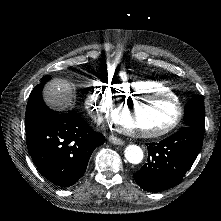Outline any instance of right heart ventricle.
<instances>
[{
  "label": "right heart ventricle",
  "instance_id": "right-heart-ventricle-1",
  "mask_svg": "<svg viewBox=\"0 0 221 221\" xmlns=\"http://www.w3.org/2000/svg\"><path fill=\"white\" fill-rule=\"evenodd\" d=\"M114 81L116 85L114 87V93L117 96L134 94L135 92L144 95L153 94V96L157 99H164V100H172L175 98L176 93L172 89H163V85L160 82H155L150 84L155 80L146 79L145 77L135 75V74H127L126 78L124 77L123 73H115L114 74ZM124 79L126 81L124 82Z\"/></svg>",
  "mask_w": 221,
  "mask_h": 221
}]
</instances>
